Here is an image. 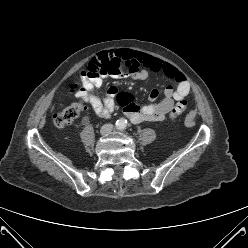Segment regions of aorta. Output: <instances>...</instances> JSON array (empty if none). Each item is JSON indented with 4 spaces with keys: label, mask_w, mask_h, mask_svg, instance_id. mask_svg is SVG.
I'll return each instance as SVG.
<instances>
[{
    "label": "aorta",
    "mask_w": 248,
    "mask_h": 248,
    "mask_svg": "<svg viewBox=\"0 0 248 248\" xmlns=\"http://www.w3.org/2000/svg\"><path fill=\"white\" fill-rule=\"evenodd\" d=\"M127 121L123 118H120L119 120H117L116 122V126L118 129H124L126 127Z\"/></svg>",
    "instance_id": "aorta-1"
}]
</instances>
